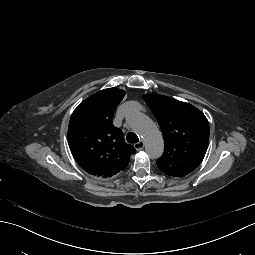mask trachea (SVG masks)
Here are the masks:
<instances>
[{
	"label": "trachea",
	"instance_id": "obj_1",
	"mask_svg": "<svg viewBox=\"0 0 255 255\" xmlns=\"http://www.w3.org/2000/svg\"><path fill=\"white\" fill-rule=\"evenodd\" d=\"M126 140L129 142V143H137L139 141V138L137 137L136 134L130 132L126 135Z\"/></svg>",
	"mask_w": 255,
	"mask_h": 255
}]
</instances>
